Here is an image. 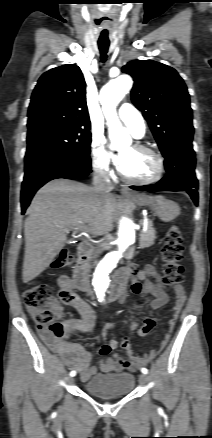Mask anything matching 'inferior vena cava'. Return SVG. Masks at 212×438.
Instances as JSON below:
<instances>
[{
    "mask_svg": "<svg viewBox=\"0 0 212 438\" xmlns=\"http://www.w3.org/2000/svg\"><path fill=\"white\" fill-rule=\"evenodd\" d=\"M93 190L99 195H105L113 190L111 180L109 178L108 172L103 168L96 167L94 169L93 177ZM99 251L96 250L93 258L98 256Z\"/></svg>",
    "mask_w": 212,
    "mask_h": 438,
    "instance_id": "602c4592",
    "label": "inferior vena cava"
}]
</instances>
